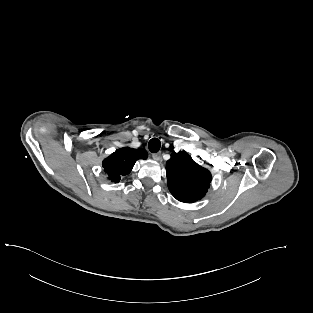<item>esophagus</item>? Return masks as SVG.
Segmentation results:
<instances>
[{
  "label": "esophagus",
  "instance_id": "obj_1",
  "mask_svg": "<svg viewBox=\"0 0 313 313\" xmlns=\"http://www.w3.org/2000/svg\"><path fill=\"white\" fill-rule=\"evenodd\" d=\"M152 158L155 161H160L161 160V154L160 153H154V154H152Z\"/></svg>",
  "mask_w": 313,
  "mask_h": 313
}]
</instances>
